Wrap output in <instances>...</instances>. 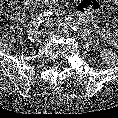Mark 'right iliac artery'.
Here are the masks:
<instances>
[{
	"label": "right iliac artery",
	"mask_w": 118,
	"mask_h": 118,
	"mask_svg": "<svg viewBox=\"0 0 118 118\" xmlns=\"http://www.w3.org/2000/svg\"><path fill=\"white\" fill-rule=\"evenodd\" d=\"M53 15V11H47V12H44V14H40V16L37 18L38 20V26L41 22L49 19L51 16ZM33 35V34H32Z\"/></svg>",
	"instance_id": "82829eb1"
}]
</instances>
